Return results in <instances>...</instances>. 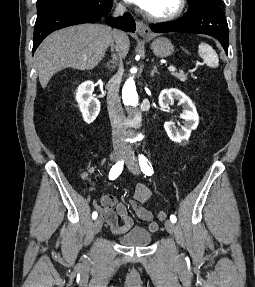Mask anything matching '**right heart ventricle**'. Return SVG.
Wrapping results in <instances>:
<instances>
[{
	"instance_id": "obj_1",
	"label": "right heart ventricle",
	"mask_w": 255,
	"mask_h": 287,
	"mask_svg": "<svg viewBox=\"0 0 255 287\" xmlns=\"http://www.w3.org/2000/svg\"><path fill=\"white\" fill-rule=\"evenodd\" d=\"M130 39H139V38H130ZM131 48H139V47H131Z\"/></svg>"
}]
</instances>
